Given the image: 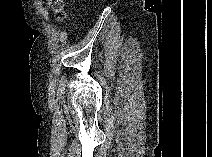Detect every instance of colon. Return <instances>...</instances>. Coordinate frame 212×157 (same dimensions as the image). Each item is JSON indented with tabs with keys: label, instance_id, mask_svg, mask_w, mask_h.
Here are the masks:
<instances>
[{
	"label": "colon",
	"instance_id": "colon-1",
	"mask_svg": "<svg viewBox=\"0 0 212 157\" xmlns=\"http://www.w3.org/2000/svg\"><path fill=\"white\" fill-rule=\"evenodd\" d=\"M50 9L55 13L56 17L62 19L64 17V2L61 0H49Z\"/></svg>",
	"mask_w": 212,
	"mask_h": 157
}]
</instances>
